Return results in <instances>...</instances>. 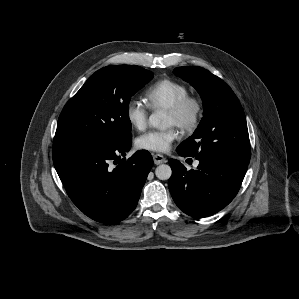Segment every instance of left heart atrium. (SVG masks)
<instances>
[{
    "label": "left heart atrium",
    "mask_w": 299,
    "mask_h": 299,
    "mask_svg": "<svg viewBox=\"0 0 299 299\" xmlns=\"http://www.w3.org/2000/svg\"><path fill=\"white\" fill-rule=\"evenodd\" d=\"M178 136L179 133L174 127L167 130H153L139 136L136 140V146L142 150L163 152Z\"/></svg>",
    "instance_id": "obj_1"
}]
</instances>
